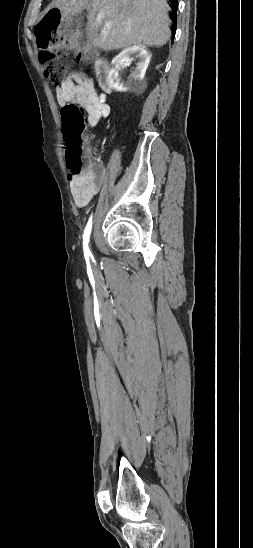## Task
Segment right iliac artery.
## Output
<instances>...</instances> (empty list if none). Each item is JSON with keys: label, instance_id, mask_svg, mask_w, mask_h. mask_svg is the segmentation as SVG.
I'll use <instances>...</instances> for the list:
<instances>
[{"label": "right iliac artery", "instance_id": "82829eb1", "mask_svg": "<svg viewBox=\"0 0 253 548\" xmlns=\"http://www.w3.org/2000/svg\"><path fill=\"white\" fill-rule=\"evenodd\" d=\"M91 228H92V216L90 217V219H89V221L86 225V228L84 230L83 245H84L85 257H92V254H91L89 246H88V243H89V240H90Z\"/></svg>", "mask_w": 253, "mask_h": 548}]
</instances>
